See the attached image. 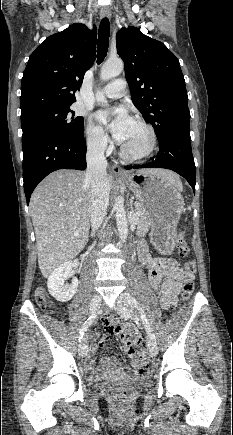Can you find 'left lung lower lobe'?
<instances>
[{
  "mask_svg": "<svg viewBox=\"0 0 233 435\" xmlns=\"http://www.w3.org/2000/svg\"><path fill=\"white\" fill-rule=\"evenodd\" d=\"M159 145V152L152 162L126 167V169L153 167L171 169L183 176L195 193V164L191 149L190 129L180 130L167 135L159 141Z\"/></svg>",
  "mask_w": 233,
  "mask_h": 435,
  "instance_id": "0a47b994",
  "label": "left lung lower lobe"
}]
</instances>
